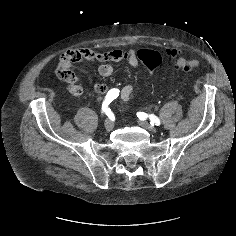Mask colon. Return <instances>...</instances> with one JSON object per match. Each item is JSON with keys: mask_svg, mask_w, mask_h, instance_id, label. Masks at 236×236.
Here are the masks:
<instances>
[{"mask_svg": "<svg viewBox=\"0 0 236 236\" xmlns=\"http://www.w3.org/2000/svg\"><path fill=\"white\" fill-rule=\"evenodd\" d=\"M167 54L174 60V65L179 70L188 72L197 69L200 65L198 60L185 58L181 56L176 49H168ZM137 55L141 63L150 72L155 70L162 63L161 54L153 49H141L138 51ZM69 67L70 62L67 59H61L56 70L58 77L63 79L66 76Z\"/></svg>", "mask_w": 236, "mask_h": 236, "instance_id": "colon-1", "label": "colon"}]
</instances>
